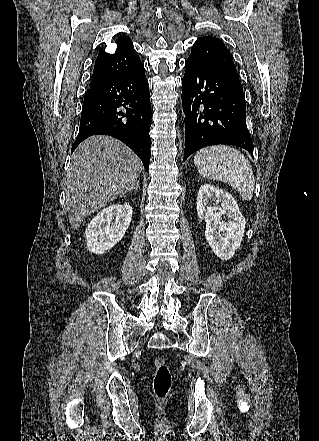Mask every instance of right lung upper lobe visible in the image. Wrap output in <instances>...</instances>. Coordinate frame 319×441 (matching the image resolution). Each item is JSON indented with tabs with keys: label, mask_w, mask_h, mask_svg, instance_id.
I'll return each mask as SVG.
<instances>
[{
	"label": "right lung upper lobe",
	"mask_w": 319,
	"mask_h": 441,
	"mask_svg": "<svg viewBox=\"0 0 319 441\" xmlns=\"http://www.w3.org/2000/svg\"><path fill=\"white\" fill-rule=\"evenodd\" d=\"M115 43L117 48L114 53L99 52L90 86L126 72L142 63L129 37L120 36Z\"/></svg>",
	"instance_id": "cb5924a9"
}]
</instances>
